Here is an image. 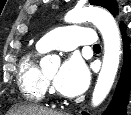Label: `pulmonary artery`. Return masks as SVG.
Wrapping results in <instances>:
<instances>
[{"mask_svg":"<svg viewBox=\"0 0 131 115\" xmlns=\"http://www.w3.org/2000/svg\"><path fill=\"white\" fill-rule=\"evenodd\" d=\"M96 38L94 31L81 26H68L54 29L45 34L37 46L42 51L59 49L69 51L79 45L94 46Z\"/></svg>","mask_w":131,"mask_h":115,"instance_id":"1","label":"pulmonary artery"}]
</instances>
